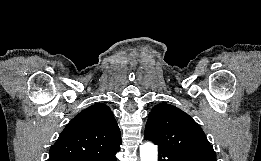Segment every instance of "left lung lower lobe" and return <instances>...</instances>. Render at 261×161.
<instances>
[{
  "instance_id": "obj_1",
  "label": "left lung lower lobe",
  "mask_w": 261,
  "mask_h": 161,
  "mask_svg": "<svg viewBox=\"0 0 261 161\" xmlns=\"http://www.w3.org/2000/svg\"><path fill=\"white\" fill-rule=\"evenodd\" d=\"M158 161H209L203 157L183 153L174 149H159Z\"/></svg>"
}]
</instances>
